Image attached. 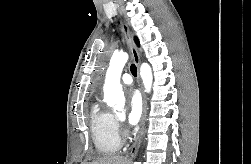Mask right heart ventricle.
<instances>
[{
	"instance_id": "obj_1",
	"label": "right heart ventricle",
	"mask_w": 251,
	"mask_h": 164,
	"mask_svg": "<svg viewBox=\"0 0 251 164\" xmlns=\"http://www.w3.org/2000/svg\"><path fill=\"white\" fill-rule=\"evenodd\" d=\"M92 139L98 154H115L120 147V137L116 119L112 113L101 108L98 103L92 105L90 112Z\"/></svg>"
}]
</instances>
